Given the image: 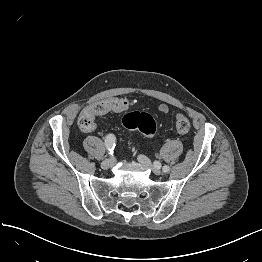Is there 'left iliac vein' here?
Masks as SVG:
<instances>
[{
	"mask_svg": "<svg viewBox=\"0 0 262 262\" xmlns=\"http://www.w3.org/2000/svg\"><path fill=\"white\" fill-rule=\"evenodd\" d=\"M137 159L140 162V164H142L144 167L152 170L156 175L161 174L160 167L158 165H153L151 163V161L146 156L139 155Z\"/></svg>",
	"mask_w": 262,
	"mask_h": 262,
	"instance_id": "1",
	"label": "left iliac vein"
}]
</instances>
